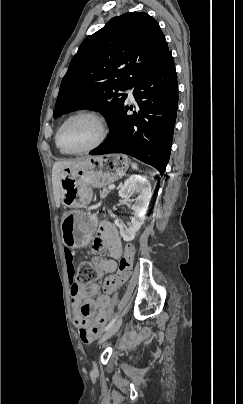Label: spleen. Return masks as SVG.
<instances>
[{
	"mask_svg": "<svg viewBox=\"0 0 243 404\" xmlns=\"http://www.w3.org/2000/svg\"><path fill=\"white\" fill-rule=\"evenodd\" d=\"M131 168H133V170H138L137 164H131Z\"/></svg>",
	"mask_w": 243,
	"mask_h": 404,
	"instance_id": "spleen-1",
	"label": "spleen"
}]
</instances>
